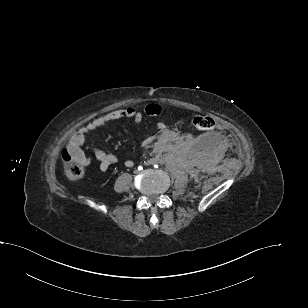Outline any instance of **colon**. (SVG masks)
<instances>
[{
    "mask_svg": "<svg viewBox=\"0 0 308 308\" xmlns=\"http://www.w3.org/2000/svg\"><path fill=\"white\" fill-rule=\"evenodd\" d=\"M191 121L193 126L200 131L212 130L215 126L214 120L204 114L194 115ZM63 161L66 175L70 179H79L84 175V163L73 158L67 150L63 154Z\"/></svg>",
    "mask_w": 308,
    "mask_h": 308,
    "instance_id": "obj_1",
    "label": "colon"
}]
</instances>
